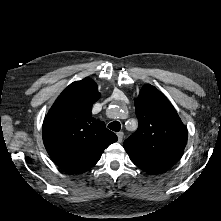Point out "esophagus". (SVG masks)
<instances>
[{"label": "esophagus", "instance_id": "1", "mask_svg": "<svg viewBox=\"0 0 221 221\" xmlns=\"http://www.w3.org/2000/svg\"><path fill=\"white\" fill-rule=\"evenodd\" d=\"M117 137H118V142L121 143L123 141L124 133L123 132H118Z\"/></svg>", "mask_w": 221, "mask_h": 221}]
</instances>
